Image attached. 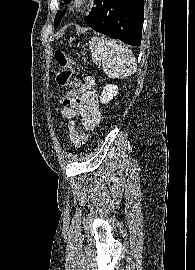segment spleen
Returning a JSON list of instances; mask_svg holds the SVG:
<instances>
[{
    "instance_id": "3e777b00",
    "label": "spleen",
    "mask_w": 195,
    "mask_h": 270,
    "mask_svg": "<svg viewBox=\"0 0 195 270\" xmlns=\"http://www.w3.org/2000/svg\"><path fill=\"white\" fill-rule=\"evenodd\" d=\"M93 63L101 65L104 73L112 79L131 76L136 71V58L132 51L120 42L104 37L89 41Z\"/></svg>"
}]
</instances>
